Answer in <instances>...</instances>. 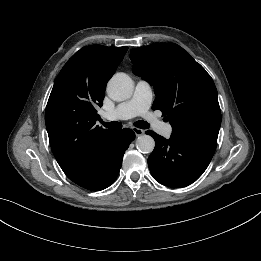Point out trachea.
<instances>
[{"label":"trachea","instance_id":"obj_1","mask_svg":"<svg viewBox=\"0 0 261 261\" xmlns=\"http://www.w3.org/2000/svg\"><path fill=\"white\" fill-rule=\"evenodd\" d=\"M101 123L103 124V126H105L106 128H109V129H121L122 128V124L120 122H117V121H112V122H103L101 121ZM134 125L137 127V128H140V129H147L149 127V124L143 120H139L137 122L134 123Z\"/></svg>","mask_w":261,"mask_h":261}]
</instances>
